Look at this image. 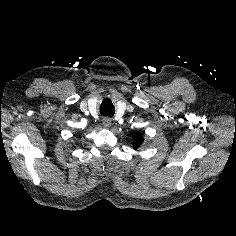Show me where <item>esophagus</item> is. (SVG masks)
Returning <instances> with one entry per match:
<instances>
[{"mask_svg":"<svg viewBox=\"0 0 236 236\" xmlns=\"http://www.w3.org/2000/svg\"><path fill=\"white\" fill-rule=\"evenodd\" d=\"M102 123H103L105 128H109L111 126V124H112V121L109 118H104Z\"/></svg>","mask_w":236,"mask_h":236,"instance_id":"esophagus-1","label":"esophagus"}]
</instances>
